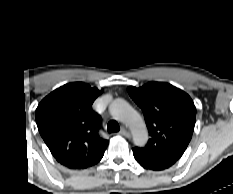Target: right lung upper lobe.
Segmentation results:
<instances>
[{"label":"right lung upper lobe","mask_w":233,"mask_h":194,"mask_svg":"<svg viewBox=\"0 0 233 194\" xmlns=\"http://www.w3.org/2000/svg\"><path fill=\"white\" fill-rule=\"evenodd\" d=\"M99 94L87 84L70 83L50 93L37 108L42 138L53 156L69 168L96 164L108 146L99 135L100 118L91 110Z\"/></svg>","instance_id":"cb5924a9"}]
</instances>
